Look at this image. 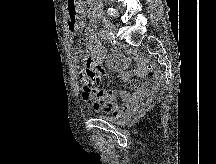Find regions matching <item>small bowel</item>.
I'll use <instances>...</instances> for the list:
<instances>
[{
	"label": "small bowel",
	"instance_id": "1",
	"mask_svg": "<svg viewBox=\"0 0 216 164\" xmlns=\"http://www.w3.org/2000/svg\"><path fill=\"white\" fill-rule=\"evenodd\" d=\"M85 46L83 50L77 52V57L84 56L100 72L102 70L101 62L106 56V49L97 39L92 26L85 28ZM138 64L135 69L120 72V77L124 81H128L129 85L134 89L133 93L126 90L119 92V96L123 100L122 104L116 102L117 94L112 90L104 88H94L92 90H83V99L93 109L103 111L112 115L115 119L128 117L136 108L138 101L147 93L148 87L140 78L146 75V68L143 61L138 58ZM128 58L123 54L114 53L110 59V65L114 69H120L126 66Z\"/></svg>",
	"mask_w": 216,
	"mask_h": 164
}]
</instances>
